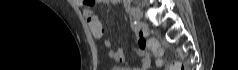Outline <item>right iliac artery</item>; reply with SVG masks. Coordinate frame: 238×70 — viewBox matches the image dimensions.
<instances>
[{"instance_id":"82829eb1","label":"right iliac artery","mask_w":238,"mask_h":70,"mask_svg":"<svg viewBox=\"0 0 238 70\" xmlns=\"http://www.w3.org/2000/svg\"><path fill=\"white\" fill-rule=\"evenodd\" d=\"M131 27L133 30H138L139 29V24L137 21L132 22Z\"/></svg>"}]
</instances>
